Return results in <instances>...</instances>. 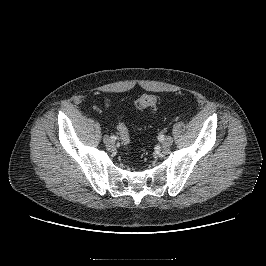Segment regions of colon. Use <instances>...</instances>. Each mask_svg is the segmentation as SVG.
<instances>
[{
	"mask_svg": "<svg viewBox=\"0 0 266 266\" xmlns=\"http://www.w3.org/2000/svg\"><path fill=\"white\" fill-rule=\"evenodd\" d=\"M156 103V98L152 94H143L136 101L135 106L138 109H147L153 107ZM118 131L120 134L121 144L128 148L130 144V135L127 126L125 123L120 122L118 124Z\"/></svg>",
	"mask_w": 266,
	"mask_h": 266,
	"instance_id": "colon-1",
	"label": "colon"
}]
</instances>
